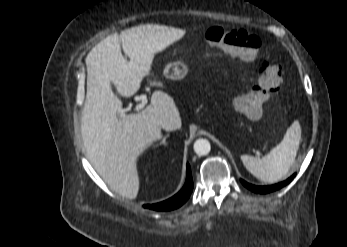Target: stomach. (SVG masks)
I'll use <instances>...</instances> for the list:
<instances>
[{
  "instance_id": "obj_1",
  "label": "stomach",
  "mask_w": 347,
  "mask_h": 247,
  "mask_svg": "<svg viewBox=\"0 0 347 247\" xmlns=\"http://www.w3.org/2000/svg\"><path fill=\"white\" fill-rule=\"evenodd\" d=\"M188 68L179 63L169 64L164 68L163 74L168 79H182L186 76Z\"/></svg>"
}]
</instances>
